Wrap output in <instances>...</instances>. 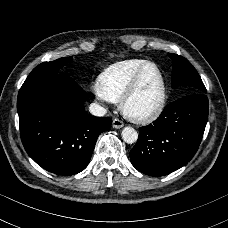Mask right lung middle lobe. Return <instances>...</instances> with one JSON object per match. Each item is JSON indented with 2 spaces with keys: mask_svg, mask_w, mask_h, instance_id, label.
Segmentation results:
<instances>
[{
  "mask_svg": "<svg viewBox=\"0 0 228 228\" xmlns=\"http://www.w3.org/2000/svg\"><path fill=\"white\" fill-rule=\"evenodd\" d=\"M72 61V58H60L50 62H43L35 67L34 70L29 74V76L43 73V72H50V71H57L61 69L64 65L68 64Z\"/></svg>",
  "mask_w": 228,
  "mask_h": 228,
  "instance_id": "obj_1",
  "label": "right lung middle lobe"
}]
</instances>
